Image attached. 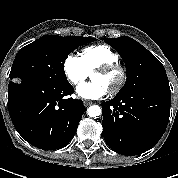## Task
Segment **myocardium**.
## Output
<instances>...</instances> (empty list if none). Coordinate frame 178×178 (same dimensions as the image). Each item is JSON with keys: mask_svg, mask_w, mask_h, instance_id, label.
<instances>
[{"mask_svg": "<svg viewBox=\"0 0 178 178\" xmlns=\"http://www.w3.org/2000/svg\"><path fill=\"white\" fill-rule=\"evenodd\" d=\"M93 73H104L110 74L115 73L117 75V81L114 87L110 89V93H117L124 85L126 81V70L125 68L118 62L107 63L101 65L93 70Z\"/></svg>", "mask_w": 178, "mask_h": 178, "instance_id": "1", "label": "myocardium"}]
</instances>
